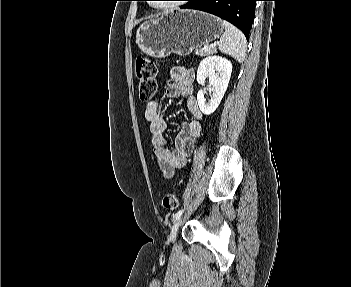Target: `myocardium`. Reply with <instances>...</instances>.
Listing matches in <instances>:
<instances>
[{
	"instance_id": "obj_1",
	"label": "myocardium",
	"mask_w": 351,
	"mask_h": 287,
	"mask_svg": "<svg viewBox=\"0 0 351 287\" xmlns=\"http://www.w3.org/2000/svg\"><path fill=\"white\" fill-rule=\"evenodd\" d=\"M156 6H158V7L162 8L160 5H156Z\"/></svg>"
}]
</instances>
